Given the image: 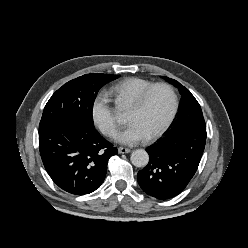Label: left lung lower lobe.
<instances>
[{
    "instance_id": "0a47b994",
    "label": "left lung lower lobe",
    "mask_w": 248,
    "mask_h": 248,
    "mask_svg": "<svg viewBox=\"0 0 248 248\" xmlns=\"http://www.w3.org/2000/svg\"><path fill=\"white\" fill-rule=\"evenodd\" d=\"M206 143V130L182 128L148 147V165L137 180L148 195L166 200L181 193L197 171Z\"/></svg>"
}]
</instances>
